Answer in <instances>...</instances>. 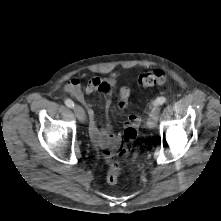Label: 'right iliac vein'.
<instances>
[{
  "label": "right iliac vein",
  "instance_id": "obj_1",
  "mask_svg": "<svg viewBox=\"0 0 221 221\" xmlns=\"http://www.w3.org/2000/svg\"><path fill=\"white\" fill-rule=\"evenodd\" d=\"M74 112H75V114H76L78 120H79L80 122L84 123L85 120H86V115H85V112H84L83 108L80 107V106H78V105H76V106L74 107Z\"/></svg>",
  "mask_w": 221,
  "mask_h": 221
}]
</instances>
